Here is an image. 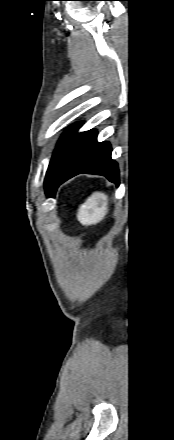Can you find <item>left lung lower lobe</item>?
<instances>
[{
  "label": "left lung lower lobe",
  "instance_id": "obj_1",
  "mask_svg": "<svg viewBox=\"0 0 174 440\" xmlns=\"http://www.w3.org/2000/svg\"><path fill=\"white\" fill-rule=\"evenodd\" d=\"M111 151L108 142H97L95 129L81 133L50 196H54L60 184L80 173L103 175L118 185V165L111 159Z\"/></svg>",
  "mask_w": 174,
  "mask_h": 440
}]
</instances>
